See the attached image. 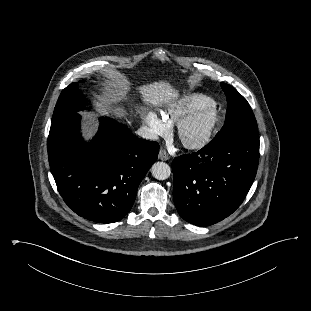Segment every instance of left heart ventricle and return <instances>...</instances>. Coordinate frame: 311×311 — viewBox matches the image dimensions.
<instances>
[{"label": "left heart ventricle", "instance_id": "left-heart-ventricle-1", "mask_svg": "<svg viewBox=\"0 0 311 311\" xmlns=\"http://www.w3.org/2000/svg\"><path fill=\"white\" fill-rule=\"evenodd\" d=\"M205 125H206L205 120H200L195 124H193L192 126H190L184 134L185 139L196 140L200 138L204 133Z\"/></svg>", "mask_w": 311, "mask_h": 311}]
</instances>
